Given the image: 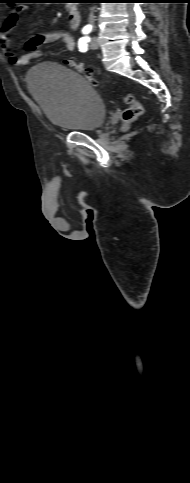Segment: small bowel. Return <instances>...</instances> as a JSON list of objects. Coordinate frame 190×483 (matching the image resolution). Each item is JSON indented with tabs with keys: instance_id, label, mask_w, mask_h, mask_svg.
<instances>
[{
	"instance_id": "c3829d8e",
	"label": "small bowel",
	"mask_w": 190,
	"mask_h": 483,
	"mask_svg": "<svg viewBox=\"0 0 190 483\" xmlns=\"http://www.w3.org/2000/svg\"><path fill=\"white\" fill-rule=\"evenodd\" d=\"M26 10L27 6L24 4L16 6L0 29V49L10 63L16 66H26L40 55L43 45L55 41L63 42L70 52L75 49L76 41L74 37L66 30H56L30 37L24 44L26 53L16 56L11 50L10 36L19 16Z\"/></svg>"
}]
</instances>
